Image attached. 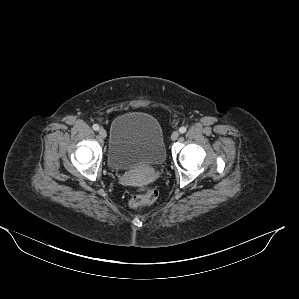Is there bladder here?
Segmentation results:
<instances>
[{
    "label": "bladder",
    "mask_w": 299,
    "mask_h": 299,
    "mask_svg": "<svg viewBox=\"0 0 299 299\" xmlns=\"http://www.w3.org/2000/svg\"><path fill=\"white\" fill-rule=\"evenodd\" d=\"M107 159L116 171L163 165L166 148L158 120L144 112L118 116L111 126Z\"/></svg>",
    "instance_id": "obj_1"
}]
</instances>
